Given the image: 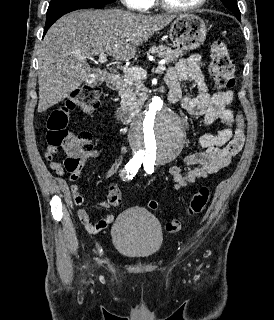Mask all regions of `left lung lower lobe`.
<instances>
[{
    "label": "left lung lower lobe",
    "mask_w": 274,
    "mask_h": 320,
    "mask_svg": "<svg viewBox=\"0 0 274 320\" xmlns=\"http://www.w3.org/2000/svg\"><path fill=\"white\" fill-rule=\"evenodd\" d=\"M236 17H237L238 20H240L241 19V14H236Z\"/></svg>",
    "instance_id": "1"
}]
</instances>
